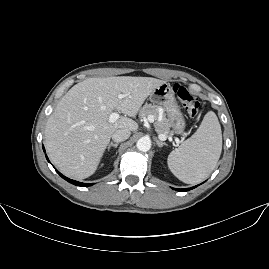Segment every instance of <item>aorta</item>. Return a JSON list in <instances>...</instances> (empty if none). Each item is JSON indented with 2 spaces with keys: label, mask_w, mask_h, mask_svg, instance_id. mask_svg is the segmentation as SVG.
<instances>
[{
  "label": "aorta",
  "mask_w": 269,
  "mask_h": 269,
  "mask_svg": "<svg viewBox=\"0 0 269 269\" xmlns=\"http://www.w3.org/2000/svg\"><path fill=\"white\" fill-rule=\"evenodd\" d=\"M136 146L140 151L147 152L151 148V140L148 137H142L137 141Z\"/></svg>",
  "instance_id": "762f6f07"
}]
</instances>
